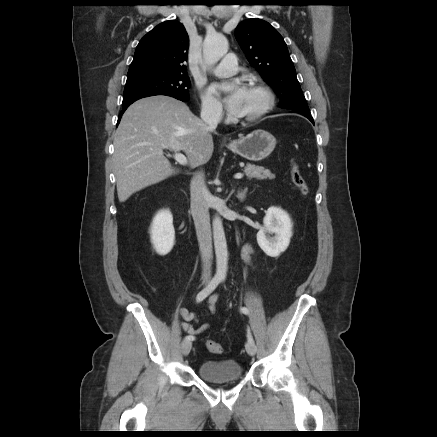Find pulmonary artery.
Instances as JSON below:
<instances>
[{"instance_id": "pulmonary-artery-1", "label": "pulmonary artery", "mask_w": 437, "mask_h": 437, "mask_svg": "<svg viewBox=\"0 0 437 437\" xmlns=\"http://www.w3.org/2000/svg\"><path fill=\"white\" fill-rule=\"evenodd\" d=\"M237 71V59L232 53L227 54L222 61L213 69V73L219 77L232 76Z\"/></svg>"}]
</instances>
